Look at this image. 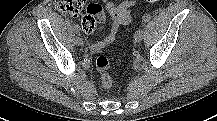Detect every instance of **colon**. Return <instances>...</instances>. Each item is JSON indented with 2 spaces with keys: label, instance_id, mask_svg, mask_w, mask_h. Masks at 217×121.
<instances>
[{
  "label": "colon",
  "instance_id": "colon-1",
  "mask_svg": "<svg viewBox=\"0 0 217 121\" xmlns=\"http://www.w3.org/2000/svg\"><path fill=\"white\" fill-rule=\"evenodd\" d=\"M149 3H156L160 0H146ZM55 7L66 15H78L85 11L81 20V27L85 33H93L99 24L105 20L103 7L98 3H88L87 0H54ZM95 66L100 74L102 86L105 89L112 87L113 80L110 73V62L105 56H98L95 60Z\"/></svg>",
  "mask_w": 217,
  "mask_h": 121
}]
</instances>
